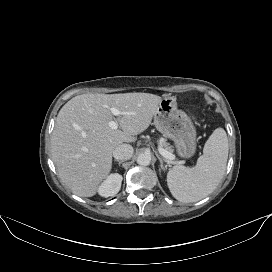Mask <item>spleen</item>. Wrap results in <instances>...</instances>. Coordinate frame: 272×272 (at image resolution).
<instances>
[{
    "label": "spleen",
    "instance_id": "3e777b00",
    "mask_svg": "<svg viewBox=\"0 0 272 272\" xmlns=\"http://www.w3.org/2000/svg\"><path fill=\"white\" fill-rule=\"evenodd\" d=\"M228 150L225 130L215 129L196 166L177 165L169 170L167 184L173 197L180 202H197L213 192L225 173Z\"/></svg>",
    "mask_w": 272,
    "mask_h": 272
}]
</instances>
